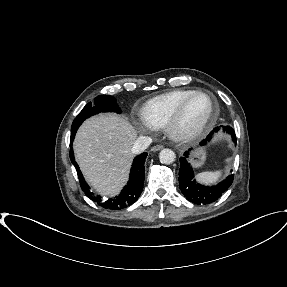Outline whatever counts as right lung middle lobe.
<instances>
[{
  "mask_svg": "<svg viewBox=\"0 0 287 287\" xmlns=\"http://www.w3.org/2000/svg\"><path fill=\"white\" fill-rule=\"evenodd\" d=\"M114 111L120 113L121 110L118 107L116 100L111 96L101 95L95 99V106L89 102L82 111L74 119L71 126V134L76 133L81 123L88 117L95 115L99 112Z\"/></svg>",
  "mask_w": 287,
  "mask_h": 287,
  "instance_id": "dd1d6c3e",
  "label": "right lung middle lobe"
}]
</instances>
